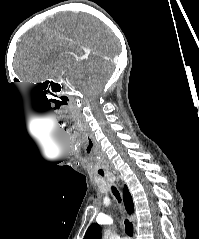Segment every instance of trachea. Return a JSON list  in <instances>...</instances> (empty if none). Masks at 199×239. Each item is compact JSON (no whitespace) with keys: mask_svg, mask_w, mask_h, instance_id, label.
I'll list each match as a JSON object with an SVG mask.
<instances>
[{"mask_svg":"<svg viewBox=\"0 0 199 239\" xmlns=\"http://www.w3.org/2000/svg\"><path fill=\"white\" fill-rule=\"evenodd\" d=\"M101 176H104L103 173H100ZM112 192L115 195L116 199L118 200V202H121V198H120V194L117 191V189L115 187H112ZM125 232L127 235L129 236H133V226L132 223H130L127 219L125 220Z\"/></svg>","mask_w":199,"mask_h":239,"instance_id":"obj_1","label":"trachea"}]
</instances>
